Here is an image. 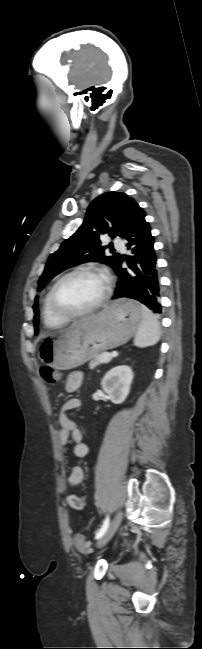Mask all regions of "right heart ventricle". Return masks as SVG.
I'll use <instances>...</instances> for the list:
<instances>
[{
  "label": "right heart ventricle",
  "mask_w": 202,
  "mask_h": 649,
  "mask_svg": "<svg viewBox=\"0 0 202 649\" xmlns=\"http://www.w3.org/2000/svg\"><path fill=\"white\" fill-rule=\"evenodd\" d=\"M49 295H50V290L47 291L42 302V309H41L42 320L44 325L48 328H52V329L59 328L65 325L68 322V319L58 316L53 311L52 306L50 304Z\"/></svg>",
  "instance_id": "right-heart-ventricle-1"
}]
</instances>
